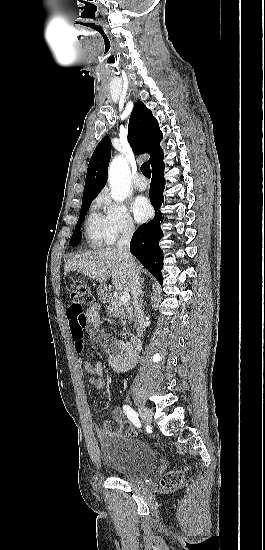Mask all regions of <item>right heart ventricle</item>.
Returning <instances> with one entry per match:
<instances>
[{
  "label": "right heart ventricle",
  "instance_id": "1",
  "mask_svg": "<svg viewBox=\"0 0 265 550\" xmlns=\"http://www.w3.org/2000/svg\"><path fill=\"white\" fill-rule=\"evenodd\" d=\"M85 236L92 246H103L111 243L106 230L104 215L96 209H93L86 219Z\"/></svg>",
  "mask_w": 265,
  "mask_h": 550
}]
</instances>
